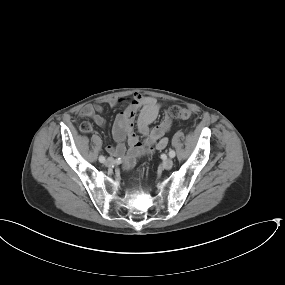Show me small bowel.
<instances>
[{
	"label": "small bowel",
	"instance_id": "small-bowel-1",
	"mask_svg": "<svg viewBox=\"0 0 285 285\" xmlns=\"http://www.w3.org/2000/svg\"><path fill=\"white\" fill-rule=\"evenodd\" d=\"M123 102L124 108L117 116L113 127V136L117 144L110 145L107 149L110 153L122 155L123 167L128 170L136 165L137 159L141 155L166 148L168 139L165 134L171 128L172 121L168 116H165L159 124L153 128L150 127L158 113L165 108V105L154 97L136 93ZM117 104V100H109L110 106L114 107ZM102 110L103 107L100 104H87L80 109L79 117H90L95 124L104 127L107 120L98 114ZM135 128L143 137V142H140ZM80 129L84 133H89L92 130V125L89 122H82ZM125 142L128 143L127 149L124 146Z\"/></svg>",
	"mask_w": 285,
	"mask_h": 285
}]
</instances>
